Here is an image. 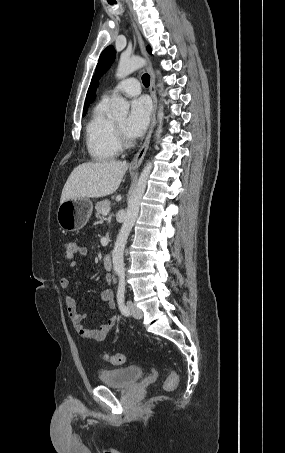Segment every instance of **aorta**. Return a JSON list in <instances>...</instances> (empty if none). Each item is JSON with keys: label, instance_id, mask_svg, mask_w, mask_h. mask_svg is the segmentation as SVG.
<instances>
[{"label": "aorta", "instance_id": "obj_1", "mask_svg": "<svg viewBox=\"0 0 285 453\" xmlns=\"http://www.w3.org/2000/svg\"><path fill=\"white\" fill-rule=\"evenodd\" d=\"M145 64L146 61L141 57L138 56L126 57L122 55L119 60L116 77L118 79H123L126 76L133 73L135 70L142 68ZM159 87L160 92L163 95L162 93L163 84L159 83ZM128 112H129L128 101L120 96L114 97L111 105L112 115L116 117H126ZM157 117L159 125L156 130V138H160V135L162 133V122L164 117L163 106H160ZM151 170L152 163L149 161L146 163L144 169L142 170L137 185L128 201L126 217L119 231V234L114 245V249L112 251L113 268L115 273L117 274L124 272L123 255L125 245L127 243L128 236L134 226V223L138 217L140 202L145 192L147 180L149 178Z\"/></svg>", "mask_w": 285, "mask_h": 453}]
</instances>
